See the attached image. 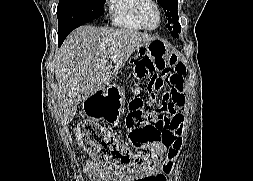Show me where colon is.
<instances>
[{"mask_svg":"<svg viewBox=\"0 0 253 181\" xmlns=\"http://www.w3.org/2000/svg\"><path fill=\"white\" fill-rule=\"evenodd\" d=\"M177 47H168L166 41L154 38L149 48H140V53L154 55L157 67L168 71L154 90L143 101L136 94L128 102L125 128L130 144L145 148L146 152H134L112 133L91 122L82 121L77 126V137L96 163L113 173L136 174L157 163L167 160L164 155L176 144L174 131L178 128L177 109L183 107V76L185 66L176 58ZM169 152L168 157L170 156Z\"/></svg>","mask_w":253,"mask_h":181,"instance_id":"5ec220e1","label":"colon"}]
</instances>
